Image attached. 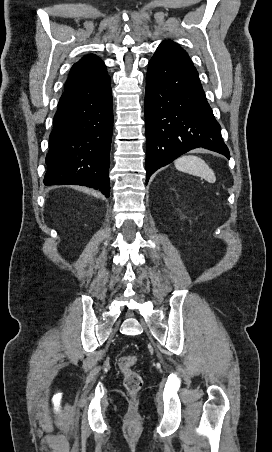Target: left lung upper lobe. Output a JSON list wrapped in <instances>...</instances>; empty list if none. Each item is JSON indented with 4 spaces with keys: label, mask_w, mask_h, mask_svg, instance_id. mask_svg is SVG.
Here are the masks:
<instances>
[{
    "label": "left lung upper lobe",
    "mask_w": 272,
    "mask_h": 452,
    "mask_svg": "<svg viewBox=\"0 0 272 452\" xmlns=\"http://www.w3.org/2000/svg\"><path fill=\"white\" fill-rule=\"evenodd\" d=\"M164 42L172 43V44L178 46L179 48H181L178 44H176V43H174V42H172V41H164ZM181 49H182V48H181ZM182 50H183V49H182Z\"/></svg>",
    "instance_id": "left-lung-upper-lobe-1"
}]
</instances>
